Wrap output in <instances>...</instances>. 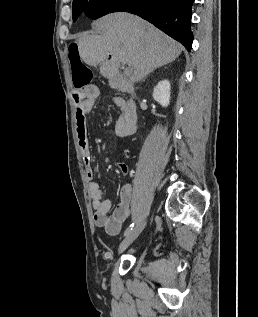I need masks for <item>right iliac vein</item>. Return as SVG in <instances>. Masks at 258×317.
<instances>
[{"label": "right iliac vein", "instance_id": "63e3f726", "mask_svg": "<svg viewBox=\"0 0 258 317\" xmlns=\"http://www.w3.org/2000/svg\"><path fill=\"white\" fill-rule=\"evenodd\" d=\"M146 217L143 221H140V223H137L134 228L130 230V232L127 234L126 239H123L120 242V246H118V254L124 253V250H126L132 243L135 237H138L139 234L142 232L143 226H145Z\"/></svg>", "mask_w": 258, "mask_h": 317}]
</instances>
